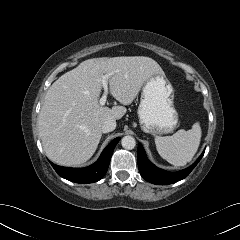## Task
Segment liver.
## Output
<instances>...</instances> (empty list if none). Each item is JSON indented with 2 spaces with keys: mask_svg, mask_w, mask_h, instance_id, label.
Listing matches in <instances>:
<instances>
[{
  "mask_svg": "<svg viewBox=\"0 0 240 240\" xmlns=\"http://www.w3.org/2000/svg\"><path fill=\"white\" fill-rule=\"evenodd\" d=\"M155 74H164L155 60L133 56L88 59L59 77L47 91L38 116L46 156L64 166L86 162L100 142L103 122L124 116V106L99 104L103 76L108 75L111 95L129 105Z\"/></svg>",
  "mask_w": 240,
  "mask_h": 240,
  "instance_id": "liver-1",
  "label": "liver"
}]
</instances>
